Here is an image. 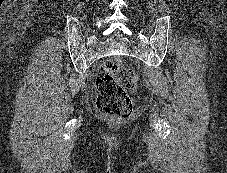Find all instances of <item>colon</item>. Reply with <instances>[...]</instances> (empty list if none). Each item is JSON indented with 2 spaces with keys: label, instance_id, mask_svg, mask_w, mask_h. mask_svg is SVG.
Instances as JSON below:
<instances>
[{
  "label": "colon",
  "instance_id": "1",
  "mask_svg": "<svg viewBox=\"0 0 227 173\" xmlns=\"http://www.w3.org/2000/svg\"><path fill=\"white\" fill-rule=\"evenodd\" d=\"M138 85V76L118 60L105 61L96 78L97 109L104 116L126 118L133 111L128 91Z\"/></svg>",
  "mask_w": 227,
  "mask_h": 173
}]
</instances>
